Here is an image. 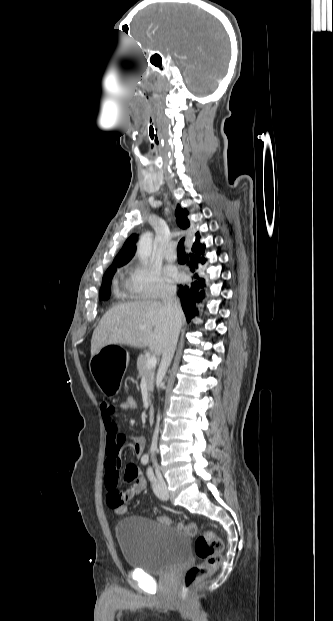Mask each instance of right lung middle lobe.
<instances>
[{"instance_id": "right-lung-middle-lobe-1", "label": "right lung middle lobe", "mask_w": 333, "mask_h": 621, "mask_svg": "<svg viewBox=\"0 0 333 621\" xmlns=\"http://www.w3.org/2000/svg\"><path fill=\"white\" fill-rule=\"evenodd\" d=\"M116 271V267L108 268L103 276L102 287L99 292L100 300H108L111 294L110 286H111V278Z\"/></svg>"}]
</instances>
